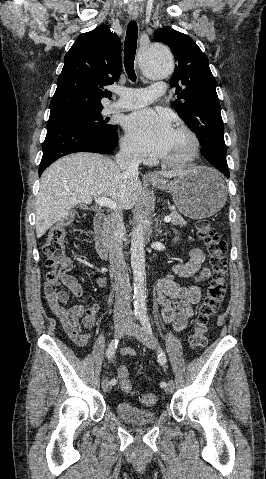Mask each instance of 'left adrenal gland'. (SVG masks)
Returning <instances> with one entry per match:
<instances>
[{"label": "left adrenal gland", "mask_w": 266, "mask_h": 479, "mask_svg": "<svg viewBox=\"0 0 266 479\" xmlns=\"http://www.w3.org/2000/svg\"><path fill=\"white\" fill-rule=\"evenodd\" d=\"M162 231L160 230L159 233H161ZM167 233H164V235H166Z\"/></svg>", "instance_id": "obj_1"}]
</instances>
